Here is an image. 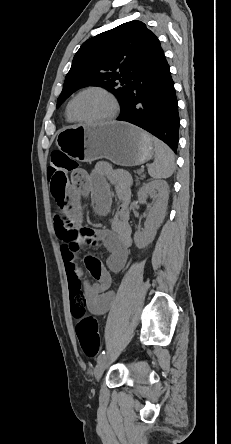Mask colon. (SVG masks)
Masks as SVG:
<instances>
[{"label": "colon", "instance_id": "colon-1", "mask_svg": "<svg viewBox=\"0 0 231 444\" xmlns=\"http://www.w3.org/2000/svg\"><path fill=\"white\" fill-rule=\"evenodd\" d=\"M76 171H79V167L75 160L67 157L60 151H55L51 154L48 176L49 180L56 186L55 195L57 194L58 186L68 182L70 176ZM69 290L71 309L77 320L76 330L81 348L86 356L94 358L100 348L98 322L95 318L88 315L86 311V298L80 285L73 283L70 285Z\"/></svg>", "mask_w": 231, "mask_h": 444}]
</instances>
